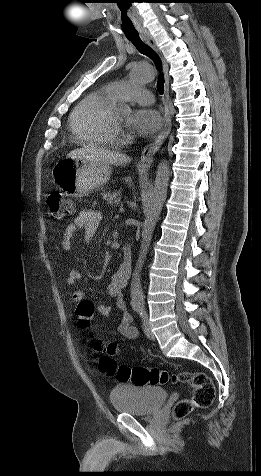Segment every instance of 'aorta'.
Returning a JSON list of instances; mask_svg holds the SVG:
<instances>
[{"label": "aorta", "instance_id": "1", "mask_svg": "<svg viewBox=\"0 0 261 476\" xmlns=\"http://www.w3.org/2000/svg\"><path fill=\"white\" fill-rule=\"evenodd\" d=\"M154 77L155 71L150 65H138L135 66L131 71V79L134 83L150 82L154 79ZM117 112L121 116H128L131 113V109L127 105L120 104L117 107ZM169 176L170 173L167 162L165 160L161 161L157 167L154 190L149 208L146 213V219L143 224L140 254L136 263L135 271L133 273L131 283L132 306L144 305V294L140 281V272L146 259L148 248L152 240L154 228L167 198Z\"/></svg>", "mask_w": 261, "mask_h": 476}]
</instances>
